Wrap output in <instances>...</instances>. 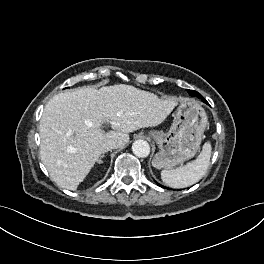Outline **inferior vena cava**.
Segmentation results:
<instances>
[{"label": "inferior vena cava", "instance_id": "602c4592", "mask_svg": "<svg viewBox=\"0 0 264 264\" xmlns=\"http://www.w3.org/2000/svg\"><path fill=\"white\" fill-rule=\"evenodd\" d=\"M118 148L117 142L114 140H108L104 142L101 146L103 151H110L112 149Z\"/></svg>", "mask_w": 264, "mask_h": 264}]
</instances>
